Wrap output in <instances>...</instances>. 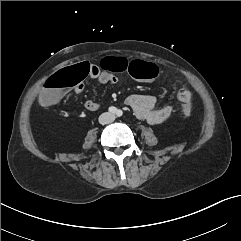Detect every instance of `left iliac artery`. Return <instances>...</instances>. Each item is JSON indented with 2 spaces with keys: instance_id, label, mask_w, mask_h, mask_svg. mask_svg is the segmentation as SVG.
Returning <instances> with one entry per match:
<instances>
[{
  "instance_id": "1",
  "label": "left iliac artery",
  "mask_w": 241,
  "mask_h": 241,
  "mask_svg": "<svg viewBox=\"0 0 241 241\" xmlns=\"http://www.w3.org/2000/svg\"><path fill=\"white\" fill-rule=\"evenodd\" d=\"M123 112L121 110L117 111V116H122Z\"/></svg>"
}]
</instances>
